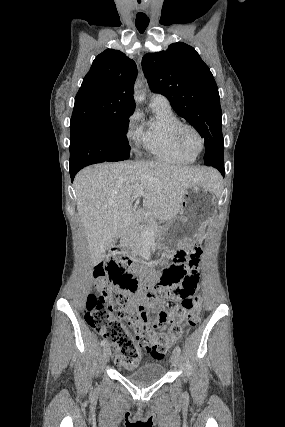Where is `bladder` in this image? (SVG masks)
Returning a JSON list of instances; mask_svg holds the SVG:
<instances>
[{"instance_id": "1", "label": "bladder", "mask_w": 285, "mask_h": 427, "mask_svg": "<svg viewBox=\"0 0 285 427\" xmlns=\"http://www.w3.org/2000/svg\"><path fill=\"white\" fill-rule=\"evenodd\" d=\"M165 367L160 363H150L139 367L137 370L127 373L124 377L138 386H146L156 383L164 376Z\"/></svg>"}]
</instances>
